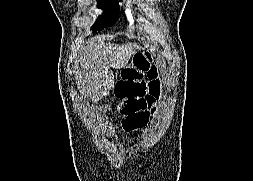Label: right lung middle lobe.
Listing matches in <instances>:
<instances>
[{
  "mask_svg": "<svg viewBox=\"0 0 253 181\" xmlns=\"http://www.w3.org/2000/svg\"><path fill=\"white\" fill-rule=\"evenodd\" d=\"M98 6L104 9V13L96 20L92 26L94 31L101 30L104 27L111 26L119 17L118 0H98Z\"/></svg>",
  "mask_w": 253,
  "mask_h": 181,
  "instance_id": "right-lung-middle-lobe-1",
  "label": "right lung middle lobe"
}]
</instances>
